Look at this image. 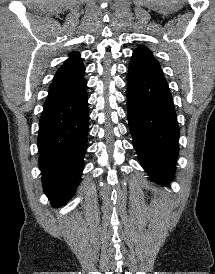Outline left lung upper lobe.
I'll list each match as a JSON object with an SVG mask.
<instances>
[{"label":"left lung upper lobe","instance_id":"1","mask_svg":"<svg viewBox=\"0 0 215 274\" xmlns=\"http://www.w3.org/2000/svg\"><path fill=\"white\" fill-rule=\"evenodd\" d=\"M130 66L163 76V71L159 62L154 58L152 52L144 45L139 46L134 50Z\"/></svg>","mask_w":215,"mask_h":274}]
</instances>
